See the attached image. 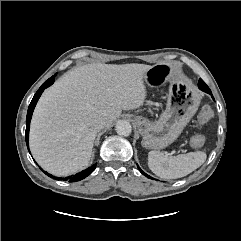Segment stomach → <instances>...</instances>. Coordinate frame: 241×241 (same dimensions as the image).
I'll return each mask as SVG.
<instances>
[{"mask_svg": "<svg viewBox=\"0 0 241 241\" xmlns=\"http://www.w3.org/2000/svg\"><path fill=\"white\" fill-rule=\"evenodd\" d=\"M144 79L150 87L169 84L166 110L157 121L151 122L141 116L135 123L142 139V146L160 150L173 143L186 124L198 110L201 96L187 81L178 78L177 67L171 63H157L145 73Z\"/></svg>", "mask_w": 241, "mask_h": 241, "instance_id": "0dacf381", "label": "stomach"}]
</instances>
